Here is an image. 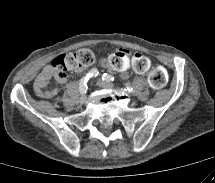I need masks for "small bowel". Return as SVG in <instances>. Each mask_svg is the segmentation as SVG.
Returning <instances> with one entry per match:
<instances>
[{
  "instance_id": "c3829d8e",
  "label": "small bowel",
  "mask_w": 215,
  "mask_h": 183,
  "mask_svg": "<svg viewBox=\"0 0 215 183\" xmlns=\"http://www.w3.org/2000/svg\"><path fill=\"white\" fill-rule=\"evenodd\" d=\"M101 65L105 68H109V70L113 72L139 78L148 72L150 62L148 57L142 52L133 51L129 53L127 50L120 48L110 53L108 57L103 58L101 60ZM48 70L49 67H45L34 82L35 94L44 99L54 98L58 94L57 88L49 87V82L52 78H46ZM67 79V76H65L63 78H57V81L59 83H65Z\"/></svg>"
}]
</instances>
